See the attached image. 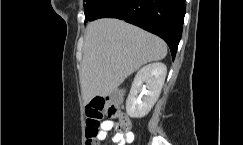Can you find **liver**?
Masks as SVG:
<instances>
[{"instance_id":"6515ba94","label":"liver","mask_w":243,"mask_h":145,"mask_svg":"<svg viewBox=\"0 0 243 145\" xmlns=\"http://www.w3.org/2000/svg\"><path fill=\"white\" fill-rule=\"evenodd\" d=\"M166 55L162 39L134 25L111 18L89 23L80 70L84 104L111 94L141 66Z\"/></svg>"}]
</instances>
